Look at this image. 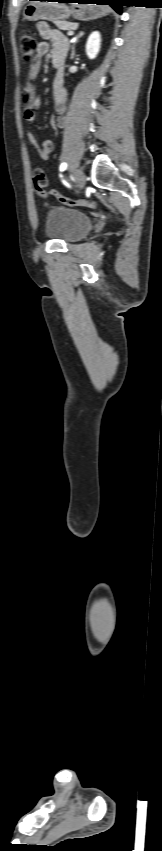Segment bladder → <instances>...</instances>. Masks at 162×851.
<instances>
[{"label": "bladder", "mask_w": 162, "mask_h": 851, "mask_svg": "<svg viewBox=\"0 0 162 851\" xmlns=\"http://www.w3.org/2000/svg\"><path fill=\"white\" fill-rule=\"evenodd\" d=\"M91 227L90 217L74 208L55 205L46 213L45 234L51 239L66 243L76 242L83 238Z\"/></svg>", "instance_id": "bladder-1"}]
</instances>
